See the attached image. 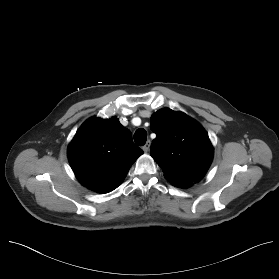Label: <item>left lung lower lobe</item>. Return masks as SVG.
<instances>
[{
	"instance_id": "left-lung-lower-lobe-1",
	"label": "left lung lower lobe",
	"mask_w": 279,
	"mask_h": 279,
	"mask_svg": "<svg viewBox=\"0 0 279 279\" xmlns=\"http://www.w3.org/2000/svg\"><path fill=\"white\" fill-rule=\"evenodd\" d=\"M173 186L176 187H182V188H188L190 187L192 184L185 182V181H178V180H168Z\"/></svg>"
}]
</instances>
